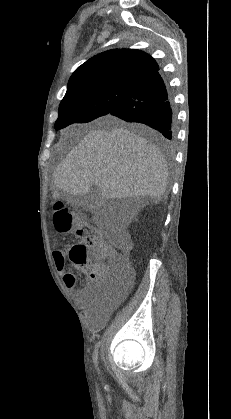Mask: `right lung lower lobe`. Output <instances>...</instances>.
Segmentation results:
<instances>
[{"label": "right lung lower lobe", "mask_w": 231, "mask_h": 419, "mask_svg": "<svg viewBox=\"0 0 231 419\" xmlns=\"http://www.w3.org/2000/svg\"><path fill=\"white\" fill-rule=\"evenodd\" d=\"M158 70L136 82L129 95L108 115L146 124L173 141L176 124L173 97Z\"/></svg>", "instance_id": "98d812e1"}]
</instances>
